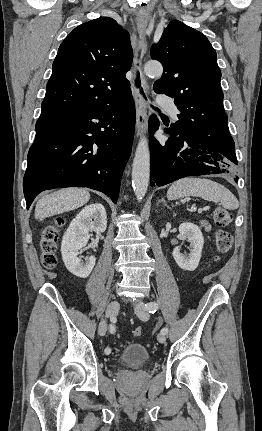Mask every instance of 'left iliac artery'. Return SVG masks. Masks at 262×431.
<instances>
[{"label": "left iliac artery", "instance_id": "obj_1", "mask_svg": "<svg viewBox=\"0 0 262 431\" xmlns=\"http://www.w3.org/2000/svg\"><path fill=\"white\" fill-rule=\"evenodd\" d=\"M146 308L150 313H155L158 309V304L156 302H149L146 304ZM161 333L163 334H167L168 333V328L164 327L161 330Z\"/></svg>", "mask_w": 262, "mask_h": 431}]
</instances>
